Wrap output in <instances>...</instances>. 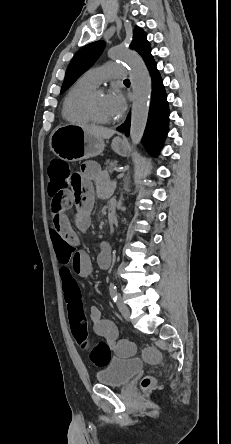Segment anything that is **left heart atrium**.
<instances>
[{"instance_id":"39dd6f15","label":"left heart atrium","mask_w":231,"mask_h":444,"mask_svg":"<svg viewBox=\"0 0 231 444\" xmlns=\"http://www.w3.org/2000/svg\"><path fill=\"white\" fill-rule=\"evenodd\" d=\"M108 106L115 117L120 116L126 107L123 94L119 90H113L106 95Z\"/></svg>"}]
</instances>
